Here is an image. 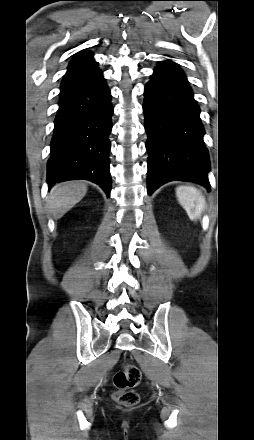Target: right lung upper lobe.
<instances>
[{
    "label": "right lung upper lobe",
    "instance_id": "right-lung-upper-lobe-1",
    "mask_svg": "<svg viewBox=\"0 0 254 440\" xmlns=\"http://www.w3.org/2000/svg\"><path fill=\"white\" fill-rule=\"evenodd\" d=\"M93 54L91 52H82L79 55L75 56L74 59L71 61L68 70L76 68L80 65L86 64L88 62L93 61Z\"/></svg>",
    "mask_w": 254,
    "mask_h": 440
}]
</instances>
